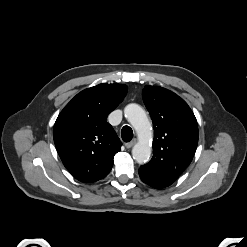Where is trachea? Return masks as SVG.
<instances>
[{"label":"trachea","mask_w":247,"mask_h":247,"mask_svg":"<svg viewBox=\"0 0 247 247\" xmlns=\"http://www.w3.org/2000/svg\"><path fill=\"white\" fill-rule=\"evenodd\" d=\"M121 137L124 142H129L133 138V131L129 126H124L121 130Z\"/></svg>","instance_id":"obj_1"}]
</instances>
